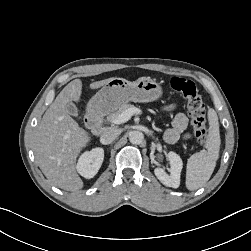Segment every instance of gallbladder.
<instances>
[{"label":"gallbladder","mask_w":251,"mask_h":251,"mask_svg":"<svg viewBox=\"0 0 251 251\" xmlns=\"http://www.w3.org/2000/svg\"><path fill=\"white\" fill-rule=\"evenodd\" d=\"M67 111L69 112L70 115L77 117L78 116V109L73 103H69L66 106Z\"/></svg>","instance_id":"1"}]
</instances>
